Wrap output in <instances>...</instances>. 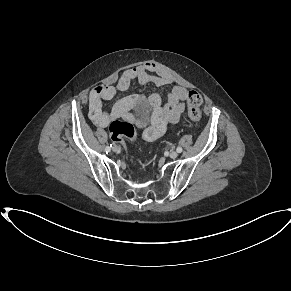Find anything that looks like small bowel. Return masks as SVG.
I'll list each match as a JSON object with an SVG mask.
<instances>
[{"instance_id":"c3829d8e","label":"small bowel","mask_w":291,"mask_h":291,"mask_svg":"<svg viewBox=\"0 0 291 291\" xmlns=\"http://www.w3.org/2000/svg\"><path fill=\"white\" fill-rule=\"evenodd\" d=\"M134 80L141 85L154 84L158 87L173 82L169 72L152 62L127 69L116 85H99L91 90L89 95L90 118L100 128L107 127L114 120L123 119L144 127L142 133L144 140H156L185 112L188 90L180 86L174 87L167 93L165 103H162V98L158 93H154L148 98L134 95L123 98L110 109H106L104 102L112 99L118 92L126 91ZM134 106L143 108L144 113L141 118L129 112V109Z\"/></svg>"}]
</instances>
